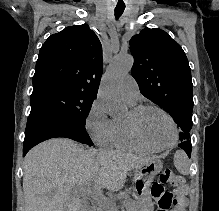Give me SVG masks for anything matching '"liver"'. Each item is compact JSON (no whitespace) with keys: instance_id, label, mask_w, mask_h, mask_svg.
<instances>
[{"instance_id":"obj_1","label":"liver","mask_w":219,"mask_h":211,"mask_svg":"<svg viewBox=\"0 0 219 211\" xmlns=\"http://www.w3.org/2000/svg\"><path fill=\"white\" fill-rule=\"evenodd\" d=\"M147 155L108 149H83L68 137L38 143L23 161L25 211H80L84 207L74 187H88L97 203L106 201L102 189H122L128 171L146 163ZM87 189V187H85ZM52 195V197H50ZM91 211L90 205H86Z\"/></svg>"}]
</instances>
